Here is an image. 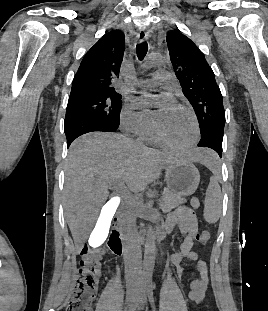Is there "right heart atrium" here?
<instances>
[{"instance_id": "obj_1", "label": "right heart atrium", "mask_w": 268, "mask_h": 311, "mask_svg": "<svg viewBox=\"0 0 268 311\" xmlns=\"http://www.w3.org/2000/svg\"><path fill=\"white\" fill-rule=\"evenodd\" d=\"M122 129L133 135L141 136L152 129V120L148 112L137 111L133 105H127L121 113Z\"/></svg>"}]
</instances>
